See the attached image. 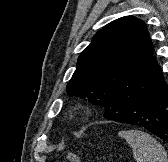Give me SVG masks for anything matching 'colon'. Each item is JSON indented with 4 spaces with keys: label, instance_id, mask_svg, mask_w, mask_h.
Listing matches in <instances>:
<instances>
[{
    "label": "colon",
    "instance_id": "5ec220e1",
    "mask_svg": "<svg viewBox=\"0 0 168 162\" xmlns=\"http://www.w3.org/2000/svg\"><path fill=\"white\" fill-rule=\"evenodd\" d=\"M67 162H80V158L76 154H68Z\"/></svg>",
    "mask_w": 168,
    "mask_h": 162
}]
</instances>
